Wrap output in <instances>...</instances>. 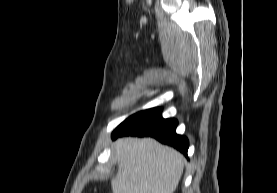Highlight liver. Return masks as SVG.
Wrapping results in <instances>:
<instances>
[{
	"label": "liver",
	"mask_w": 277,
	"mask_h": 193,
	"mask_svg": "<svg viewBox=\"0 0 277 193\" xmlns=\"http://www.w3.org/2000/svg\"><path fill=\"white\" fill-rule=\"evenodd\" d=\"M112 157L118 163L113 193H174L185 161L181 153L153 138H120Z\"/></svg>",
	"instance_id": "1"
}]
</instances>
